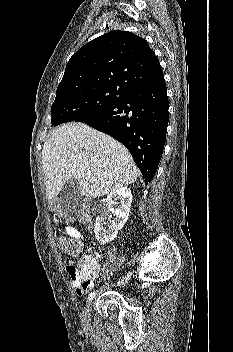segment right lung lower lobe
Listing matches in <instances>:
<instances>
[{"label": "right lung lower lobe", "mask_w": 233, "mask_h": 352, "mask_svg": "<svg viewBox=\"0 0 233 352\" xmlns=\"http://www.w3.org/2000/svg\"><path fill=\"white\" fill-rule=\"evenodd\" d=\"M168 108L167 88L162 76L130 90L120 101L79 122L121 142L130 151L147 185L162 157Z\"/></svg>", "instance_id": "98d812e1"}]
</instances>
